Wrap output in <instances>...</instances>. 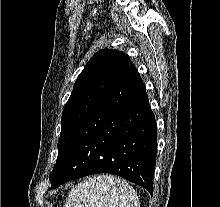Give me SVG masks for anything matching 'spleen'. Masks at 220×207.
<instances>
[{"label":"spleen","instance_id":"1","mask_svg":"<svg viewBox=\"0 0 220 207\" xmlns=\"http://www.w3.org/2000/svg\"><path fill=\"white\" fill-rule=\"evenodd\" d=\"M65 207H140L135 190L113 175H97L71 190Z\"/></svg>","mask_w":220,"mask_h":207}]
</instances>
